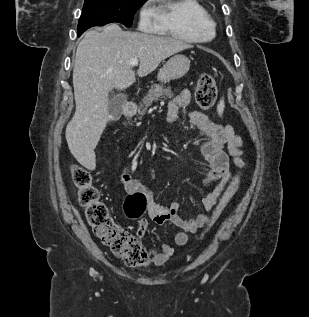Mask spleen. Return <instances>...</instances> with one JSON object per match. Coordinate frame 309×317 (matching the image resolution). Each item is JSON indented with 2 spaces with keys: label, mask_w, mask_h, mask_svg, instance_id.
Here are the masks:
<instances>
[{
  "label": "spleen",
  "mask_w": 309,
  "mask_h": 317,
  "mask_svg": "<svg viewBox=\"0 0 309 317\" xmlns=\"http://www.w3.org/2000/svg\"><path fill=\"white\" fill-rule=\"evenodd\" d=\"M224 107H225L224 99H221L217 106V112L220 116L223 114Z\"/></svg>",
  "instance_id": "1"
}]
</instances>
